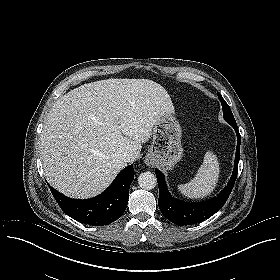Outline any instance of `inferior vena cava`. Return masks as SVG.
Segmentation results:
<instances>
[{
	"mask_svg": "<svg viewBox=\"0 0 280 280\" xmlns=\"http://www.w3.org/2000/svg\"><path fill=\"white\" fill-rule=\"evenodd\" d=\"M122 158L126 161V162H130L133 159L132 154L125 152L122 155Z\"/></svg>",
	"mask_w": 280,
	"mask_h": 280,
	"instance_id": "obj_1",
	"label": "inferior vena cava"
}]
</instances>
